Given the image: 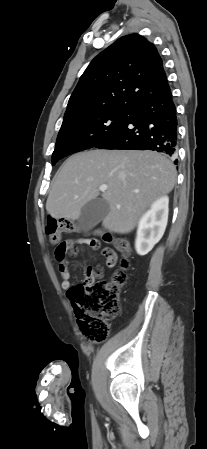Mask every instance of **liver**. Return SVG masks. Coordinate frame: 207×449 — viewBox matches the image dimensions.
<instances>
[{"instance_id":"obj_1","label":"liver","mask_w":207,"mask_h":449,"mask_svg":"<svg viewBox=\"0 0 207 449\" xmlns=\"http://www.w3.org/2000/svg\"><path fill=\"white\" fill-rule=\"evenodd\" d=\"M174 164L156 151L90 150L69 157L55 175L46 202L55 219L76 220L82 207L101 193L109 204L103 227L110 232H131L156 199L172 191Z\"/></svg>"}]
</instances>
